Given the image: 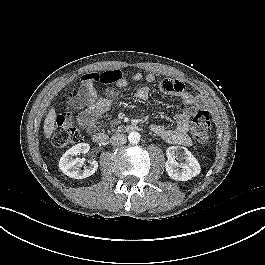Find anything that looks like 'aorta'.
Returning <instances> with one entry per match:
<instances>
[{
    "instance_id": "1",
    "label": "aorta",
    "mask_w": 265,
    "mask_h": 265,
    "mask_svg": "<svg viewBox=\"0 0 265 265\" xmlns=\"http://www.w3.org/2000/svg\"><path fill=\"white\" fill-rule=\"evenodd\" d=\"M140 138H141V135L136 131L130 132L128 135V139L130 143H133V144H137L140 141Z\"/></svg>"
}]
</instances>
